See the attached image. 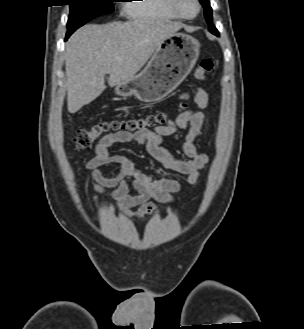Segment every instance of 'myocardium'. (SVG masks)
<instances>
[{
	"mask_svg": "<svg viewBox=\"0 0 304 329\" xmlns=\"http://www.w3.org/2000/svg\"><path fill=\"white\" fill-rule=\"evenodd\" d=\"M196 5V12L193 15H186L184 14L178 4V0H166L167 6L170 9V11L178 18L181 19H194L201 11V4L199 0H193Z\"/></svg>",
	"mask_w": 304,
	"mask_h": 329,
	"instance_id": "1",
	"label": "myocardium"
}]
</instances>
